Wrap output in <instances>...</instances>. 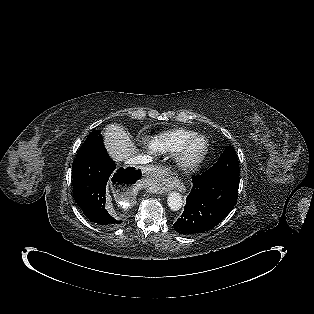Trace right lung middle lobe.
I'll list each match as a JSON object with an SVG mask.
<instances>
[{
	"label": "right lung middle lobe",
	"mask_w": 314,
	"mask_h": 314,
	"mask_svg": "<svg viewBox=\"0 0 314 314\" xmlns=\"http://www.w3.org/2000/svg\"><path fill=\"white\" fill-rule=\"evenodd\" d=\"M103 144V138L102 135L100 134L99 130L92 131L87 139L84 141L83 145L79 149L76 159L81 158L88 153L92 152L95 150V148L101 146Z\"/></svg>",
	"instance_id": "dd1d6c3e"
}]
</instances>
